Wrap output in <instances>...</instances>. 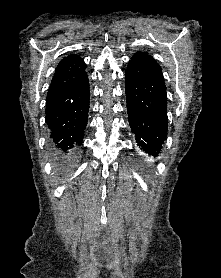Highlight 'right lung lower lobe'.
Here are the masks:
<instances>
[{"label":"right lung lower lobe","instance_id":"1","mask_svg":"<svg viewBox=\"0 0 221 278\" xmlns=\"http://www.w3.org/2000/svg\"><path fill=\"white\" fill-rule=\"evenodd\" d=\"M89 97L86 72L48 90L46 123L60 161H66L83 140Z\"/></svg>","mask_w":221,"mask_h":278}]
</instances>
